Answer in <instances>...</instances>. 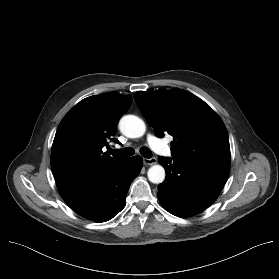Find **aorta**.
I'll return each instance as SVG.
<instances>
[{
	"instance_id": "aorta-1",
	"label": "aorta",
	"mask_w": 279,
	"mask_h": 279,
	"mask_svg": "<svg viewBox=\"0 0 279 279\" xmlns=\"http://www.w3.org/2000/svg\"><path fill=\"white\" fill-rule=\"evenodd\" d=\"M121 132L129 138H138L144 135L146 126L142 119L135 115H125L119 122ZM148 179L154 184L162 183L165 179V170L161 165L149 168Z\"/></svg>"
}]
</instances>
